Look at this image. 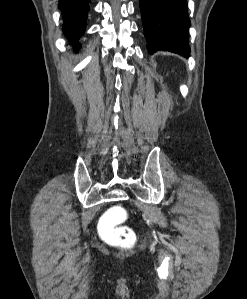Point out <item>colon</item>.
Instances as JSON below:
<instances>
[{"instance_id": "5ec220e1", "label": "colon", "mask_w": 247, "mask_h": 299, "mask_svg": "<svg viewBox=\"0 0 247 299\" xmlns=\"http://www.w3.org/2000/svg\"><path fill=\"white\" fill-rule=\"evenodd\" d=\"M126 219V211L120 206L110 208L100 221L103 238L110 244L130 247L135 242L133 230L122 223Z\"/></svg>"}]
</instances>
